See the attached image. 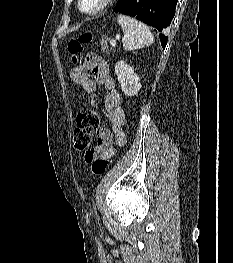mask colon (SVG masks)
<instances>
[{
  "instance_id": "obj_1",
  "label": "colon",
  "mask_w": 233,
  "mask_h": 263,
  "mask_svg": "<svg viewBox=\"0 0 233 263\" xmlns=\"http://www.w3.org/2000/svg\"><path fill=\"white\" fill-rule=\"evenodd\" d=\"M92 40L89 32L83 33L78 39L71 40L68 44V51L71 54L73 64H77L83 50V45ZM99 129V116L90 108H83L77 114L76 128L73 134V146L76 151L86 153V161L92 162V172L95 175H102L108 168L111 158L99 157L93 160L89 150L93 136Z\"/></svg>"
}]
</instances>
